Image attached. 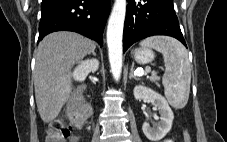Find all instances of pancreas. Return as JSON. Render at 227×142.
Masks as SVG:
<instances>
[{"instance_id":"cf45deb5","label":"pancreas","mask_w":227,"mask_h":142,"mask_svg":"<svg viewBox=\"0 0 227 142\" xmlns=\"http://www.w3.org/2000/svg\"><path fill=\"white\" fill-rule=\"evenodd\" d=\"M149 79L150 81L155 82L156 84L160 80V78L156 74H152V76Z\"/></svg>"}]
</instances>
